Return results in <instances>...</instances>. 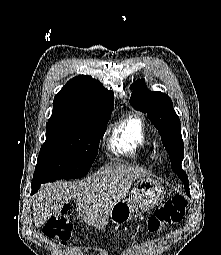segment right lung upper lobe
<instances>
[{
  "mask_svg": "<svg viewBox=\"0 0 221 255\" xmlns=\"http://www.w3.org/2000/svg\"><path fill=\"white\" fill-rule=\"evenodd\" d=\"M114 95L96 79L79 75L55 96L48 122L92 125L99 114L112 111Z\"/></svg>",
  "mask_w": 221,
  "mask_h": 255,
  "instance_id": "cb5924a9",
  "label": "right lung upper lobe"
}]
</instances>
